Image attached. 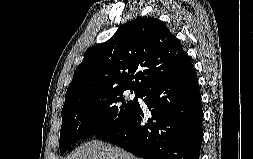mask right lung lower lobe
<instances>
[{"label":"right lung lower lobe","instance_id":"98d812e1","mask_svg":"<svg viewBox=\"0 0 253 159\" xmlns=\"http://www.w3.org/2000/svg\"><path fill=\"white\" fill-rule=\"evenodd\" d=\"M141 98L150 118L139 105L121 124L95 136L144 159H199L203 111L194 69Z\"/></svg>","mask_w":253,"mask_h":159}]
</instances>
